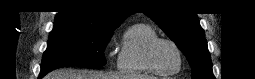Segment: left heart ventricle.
Here are the masks:
<instances>
[{
    "instance_id": "b2bd125f",
    "label": "left heart ventricle",
    "mask_w": 255,
    "mask_h": 79,
    "mask_svg": "<svg viewBox=\"0 0 255 79\" xmlns=\"http://www.w3.org/2000/svg\"><path fill=\"white\" fill-rule=\"evenodd\" d=\"M154 61L161 69L173 71L178 68L179 56L173 46L160 43L154 50Z\"/></svg>"
}]
</instances>
